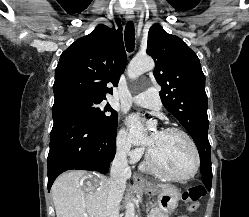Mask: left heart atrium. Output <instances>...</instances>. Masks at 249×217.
Wrapping results in <instances>:
<instances>
[{
    "instance_id": "left-heart-atrium-1",
    "label": "left heart atrium",
    "mask_w": 249,
    "mask_h": 217,
    "mask_svg": "<svg viewBox=\"0 0 249 217\" xmlns=\"http://www.w3.org/2000/svg\"><path fill=\"white\" fill-rule=\"evenodd\" d=\"M128 124L131 130L132 139L135 143L152 146L154 135L147 137L144 134L142 122L138 115H131L128 119Z\"/></svg>"
}]
</instances>
